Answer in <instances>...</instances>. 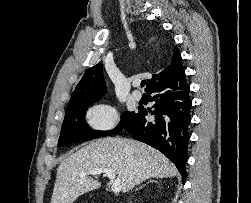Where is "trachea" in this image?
<instances>
[{"label": "trachea", "mask_w": 251, "mask_h": 203, "mask_svg": "<svg viewBox=\"0 0 251 203\" xmlns=\"http://www.w3.org/2000/svg\"><path fill=\"white\" fill-rule=\"evenodd\" d=\"M145 84H146V81H145V80H143V81L141 82V87H144V86H145Z\"/></svg>", "instance_id": "obj_1"}]
</instances>
